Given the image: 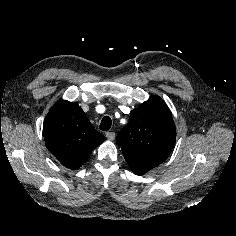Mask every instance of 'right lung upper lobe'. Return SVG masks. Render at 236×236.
<instances>
[{
	"label": "right lung upper lobe",
	"mask_w": 236,
	"mask_h": 236,
	"mask_svg": "<svg viewBox=\"0 0 236 236\" xmlns=\"http://www.w3.org/2000/svg\"><path fill=\"white\" fill-rule=\"evenodd\" d=\"M43 136L48 150L70 169L81 167L94 148L105 140L78 104L63 100L46 115Z\"/></svg>",
	"instance_id": "1"
}]
</instances>
